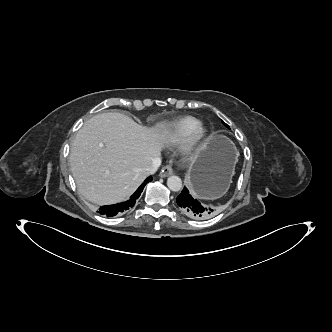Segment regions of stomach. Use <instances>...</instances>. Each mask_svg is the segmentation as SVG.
<instances>
[{"label":"stomach","mask_w":332,"mask_h":332,"mask_svg":"<svg viewBox=\"0 0 332 332\" xmlns=\"http://www.w3.org/2000/svg\"><path fill=\"white\" fill-rule=\"evenodd\" d=\"M237 150L224 135H211L198 150L186 174L191 193L199 199L223 196L231 183Z\"/></svg>","instance_id":"0dacf381"}]
</instances>
